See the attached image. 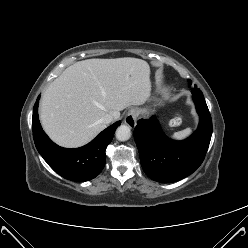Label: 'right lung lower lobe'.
Returning a JSON list of instances; mask_svg holds the SVG:
<instances>
[{"label":"right lung lower lobe","instance_id":"obj_1","mask_svg":"<svg viewBox=\"0 0 248 248\" xmlns=\"http://www.w3.org/2000/svg\"><path fill=\"white\" fill-rule=\"evenodd\" d=\"M39 99L40 96L34 105L32 116L33 138L38 152L47 164L65 179L84 182L95 178L105 165V150L121 122L109 126L83 147L63 148L52 142L42 130L38 119Z\"/></svg>","mask_w":248,"mask_h":248}]
</instances>
